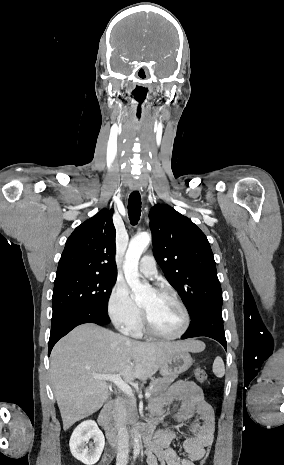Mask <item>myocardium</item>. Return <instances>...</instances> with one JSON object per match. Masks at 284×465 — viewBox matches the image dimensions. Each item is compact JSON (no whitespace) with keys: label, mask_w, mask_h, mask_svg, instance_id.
<instances>
[{"label":"myocardium","mask_w":284,"mask_h":465,"mask_svg":"<svg viewBox=\"0 0 284 465\" xmlns=\"http://www.w3.org/2000/svg\"><path fill=\"white\" fill-rule=\"evenodd\" d=\"M155 293L159 296H163L171 300L173 303H175L179 307L183 315V326L181 330L177 334H174V335L166 336V335L158 334L155 331H153V329L151 328L149 324V321H150L149 317L146 315V313L143 310H141L142 311V318L140 322L141 329L144 331L145 334L157 340L173 341V340L180 339L186 334L190 326L191 319H190V314H189L188 309L176 295H174L173 293H171L170 291L166 289H158L155 291Z\"/></svg>","instance_id":"obj_1"}]
</instances>
